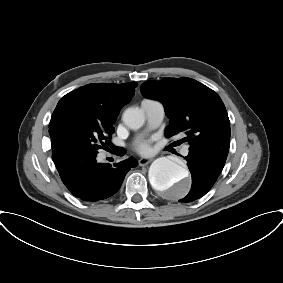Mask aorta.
Instances as JSON below:
<instances>
[{"label":"aorta","mask_w":283,"mask_h":283,"mask_svg":"<svg viewBox=\"0 0 283 283\" xmlns=\"http://www.w3.org/2000/svg\"><path fill=\"white\" fill-rule=\"evenodd\" d=\"M123 122L131 129L144 124V114L138 108H128L122 116ZM149 181L160 192L170 191L173 198H182L189 191L188 171L170 157H160L149 168Z\"/></svg>","instance_id":"762f6f07"}]
</instances>
